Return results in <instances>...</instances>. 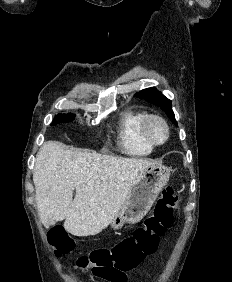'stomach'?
Instances as JSON below:
<instances>
[{
  "label": "stomach",
  "instance_id": "1",
  "mask_svg": "<svg viewBox=\"0 0 232 282\" xmlns=\"http://www.w3.org/2000/svg\"><path fill=\"white\" fill-rule=\"evenodd\" d=\"M171 168L154 164L145 168L132 185L122 207L111 221V228L121 229L125 223H137L147 214L163 187Z\"/></svg>",
  "mask_w": 232,
  "mask_h": 282
}]
</instances>
